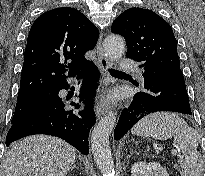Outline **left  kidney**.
Masks as SVG:
<instances>
[{
    "label": "left kidney",
    "mask_w": 205,
    "mask_h": 176,
    "mask_svg": "<svg viewBox=\"0 0 205 176\" xmlns=\"http://www.w3.org/2000/svg\"><path fill=\"white\" fill-rule=\"evenodd\" d=\"M131 176H169L166 169L157 162H137L131 167Z\"/></svg>",
    "instance_id": "left-kidney-1"
}]
</instances>
